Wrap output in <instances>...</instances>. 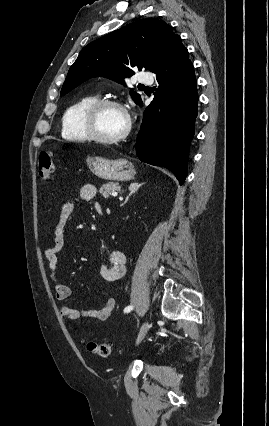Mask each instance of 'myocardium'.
Segmentation results:
<instances>
[{
  "label": "myocardium",
  "instance_id": "obj_1",
  "mask_svg": "<svg viewBox=\"0 0 269 426\" xmlns=\"http://www.w3.org/2000/svg\"><path fill=\"white\" fill-rule=\"evenodd\" d=\"M107 106L119 108L125 113V116H126V126L124 130L122 131L121 134L113 138H105L100 136L97 133L95 128V121L99 111L102 108ZM83 125L89 139L94 140L101 144H108V145L117 144L125 140L131 131V119L126 109L124 108V106L120 102L113 99H108V98L97 99L92 104L89 105V107L85 110L83 115Z\"/></svg>",
  "mask_w": 269,
  "mask_h": 426
}]
</instances>
